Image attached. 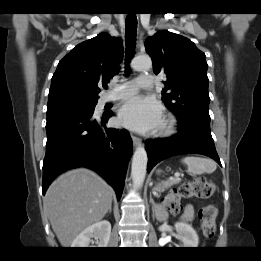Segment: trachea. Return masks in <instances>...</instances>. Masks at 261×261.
<instances>
[{
  "label": "trachea",
  "instance_id": "3493384b",
  "mask_svg": "<svg viewBox=\"0 0 261 261\" xmlns=\"http://www.w3.org/2000/svg\"><path fill=\"white\" fill-rule=\"evenodd\" d=\"M136 35H137V18L135 14H130L126 17V31H125V40H126L125 64H126L127 75L130 72L128 65L133 57L134 47L136 43ZM105 88H107V86H105Z\"/></svg>",
  "mask_w": 261,
  "mask_h": 261
}]
</instances>
